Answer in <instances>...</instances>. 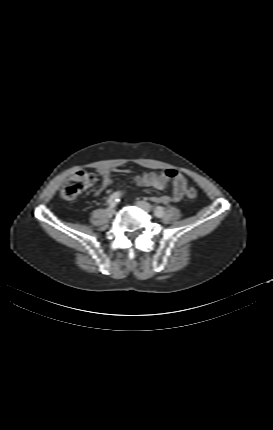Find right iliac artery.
Instances as JSON below:
<instances>
[{"label": "right iliac artery", "mask_w": 273, "mask_h": 430, "mask_svg": "<svg viewBox=\"0 0 273 430\" xmlns=\"http://www.w3.org/2000/svg\"><path fill=\"white\" fill-rule=\"evenodd\" d=\"M120 201V193L114 192L107 200L108 205L113 208Z\"/></svg>", "instance_id": "1"}]
</instances>
